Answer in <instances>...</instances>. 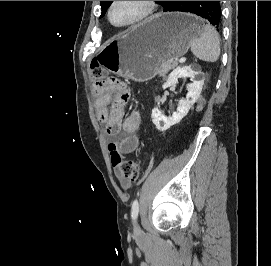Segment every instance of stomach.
<instances>
[{
    "label": "stomach",
    "mask_w": 271,
    "mask_h": 266,
    "mask_svg": "<svg viewBox=\"0 0 271 266\" xmlns=\"http://www.w3.org/2000/svg\"><path fill=\"white\" fill-rule=\"evenodd\" d=\"M200 32L199 19L193 14H158L109 40L97 59L111 73L148 81L158 74L162 63L185 55Z\"/></svg>",
    "instance_id": "0dacf381"
}]
</instances>
